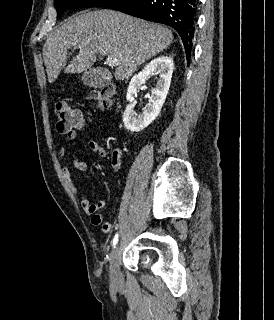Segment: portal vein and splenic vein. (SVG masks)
Returning a JSON list of instances; mask_svg holds the SVG:
<instances>
[{
  "instance_id": "18ae733b",
  "label": "portal vein and splenic vein",
  "mask_w": 274,
  "mask_h": 320,
  "mask_svg": "<svg viewBox=\"0 0 274 320\" xmlns=\"http://www.w3.org/2000/svg\"><path fill=\"white\" fill-rule=\"evenodd\" d=\"M106 64L108 66H119L117 58H112V56H107Z\"/></svg>"
}]
</instances>
